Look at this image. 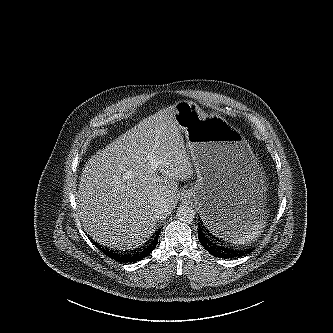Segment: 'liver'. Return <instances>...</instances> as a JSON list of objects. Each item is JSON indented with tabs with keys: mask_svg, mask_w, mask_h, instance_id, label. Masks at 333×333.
Listing matches in <instances>:
<instances>
[{
	"mask_svg": "<svg viewBox=\"0 0 333 333\" xmlns=\"http://www.w3.org/2000/svg\"><path fill=\"white\" fill-rule=\"evenodd\" d=\"M174 112L170 106L149 116L85 165L77 211L84 229L101 244L138 247L175 208L177 182L190 179L193 169ZM159 204L168 212L159 215Z\"/></svg>",
	"mask_w": 333,
	"mask_h": 333,
	"instance_id": "6515ba94",
	"label": "liver"
}]
</instances>
